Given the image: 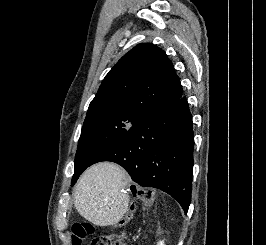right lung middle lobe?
<instances>
[{"label":"right lung middle lobe","instance_id":"right-lung-middle-lobe-1","mask_svg":"<svg viewBox=\"0 0 266 245\" xmlns=\"http://www.w3.org/2000/svg\"><path fill=\"white\" fill-rule=\"evenodd\" d=\"M141 118L142 116L117 111L86 116L75 156L71 185L98 155L119 141Z\"/></svg>","mask_w":266,"mask_h":245}]
</instances>
